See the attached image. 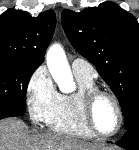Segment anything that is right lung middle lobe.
Here are the masks:
<instances>
[{"label":"right lung middle lobe","instance_id":"1","mask_svg":"<svg viewBox=\"0 0 139 150\" xmlns=\"http://www.w3.org/2000/svg\"><path fill=\"white\" fill-rule=\"evenodd\" d=\"M37 68L31 64L0 60V114L24 115L27 86Z\"/></svg>","mask_w":139,"mask_h":150}]
</instances>
